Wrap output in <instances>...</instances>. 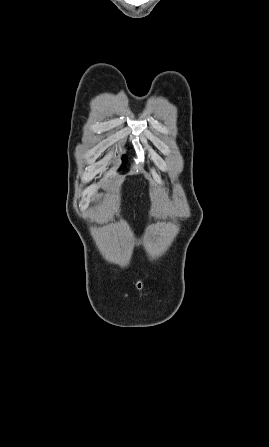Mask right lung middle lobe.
Returning <instances> with one entry per match:
<instances>
[{
    "label": "right lung middle lobe",
    "mask_w": 269,
    "mask_h": 447,
    "mask_svg": "<svg viewBox=\"0 0 269 447\" xmlns=\"http://www.w3.org/2000/svg\"><path fill=\"white\" fill-rule=\"evenodd\" d=\"M125 163H126V158L123 157V165H122L121 169L125 166Z\"/></svg>",
    "instance_id": "obj_1"
}]
</instances>
